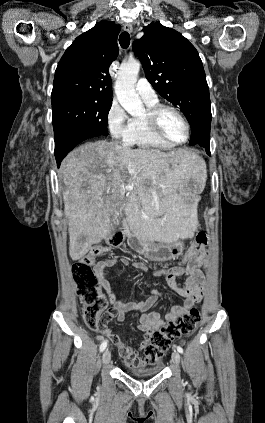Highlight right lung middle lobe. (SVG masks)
Returning <instances> with one entry per match:
<instances>
[{"label":"right lung middle lobe","instance_id":"dd1d6c3e","mask_svg":"<svg viewBox=\"0 0 265 423\" xmlns=\"http://www.w3.org/2000/svg\"><path fill=\"white\" fill-rule=\"evenodd\" d=\"M112 100H99L83 96H63L52 99L54 132L66 126L84 128L99 135H108V113ZM66 154L55 153L56 161Z\"/></svg>","mask_w":265,"mask_h":423}]
</instances>
